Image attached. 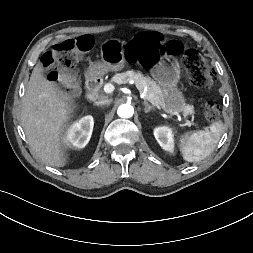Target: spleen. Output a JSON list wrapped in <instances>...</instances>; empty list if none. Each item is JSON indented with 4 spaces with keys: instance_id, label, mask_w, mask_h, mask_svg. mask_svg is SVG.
<instances>
[{
    "instance_id": "obj_1",
    "label": "spleen",
    "mask_w": 253,
    "mask_h": 253,
    "mask_svg": "<svg viewBox=\"0 0 253 253\" xmlns=\"http://www.w3.org/2000/svg\"><path fill=\"white\" fill-rule=\"evenodd\" d=\"M222 132V121H216L209 130L182 135L179 147L183 159L188 162H199L205 159L214 151Z\"/></svg>"
}]
</instances>
